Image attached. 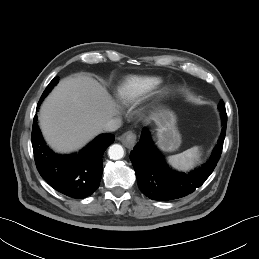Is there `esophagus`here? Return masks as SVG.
<instances>
[{
    "label": "esophagus",
    "instance_id": "1",
    "mask_svg": "<svg viewBox=\"0 0 259 259\" xmlns=\"http://www.w3.org/2000/svg\"><path fill=\"white\" fill-rule=\"evenodd\" d=\"M119 140L127 147L132 148L137 140V136L134 132L128 131L119 137Z\"/></svg>",
    "mask_w": 259,
    "mask_h": 259
}]
</instances>
